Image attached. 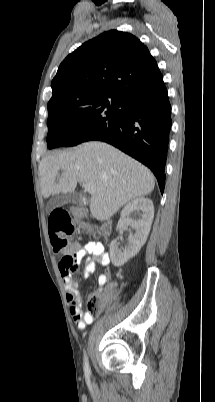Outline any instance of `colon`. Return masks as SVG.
Listing matches in <instances>:
<instances>
[{"label": "colon", "mask_w": 215, "mask_h": 402, "mask_svg": "<svg viewBox=\"0 0 215 402\" xmlns=\"http://www.w3.org/2000/svg\"><path fill=\"white\" fill-rule=\"evenodd\" d=\"M49 237L55 252L62 253L60 261L62 267H67L71 272L78 270V263L73 258L77 255V250L83 248L81 241H68L67 236L75 231V225L69 213L65 210H55L49 217ZM84 232H89L87 226H81ZM103 301L96 294H90L87 299L86 313L96 315L101 310Z\"/></svg>", "instance_id": "obj_1"}]
</instances>
